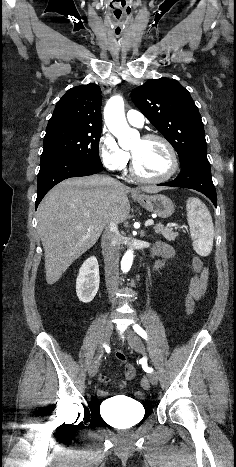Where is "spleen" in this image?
Masks as SVG:
<instances>
[{
	"label": "spleen",
	"instance_id": "3e777b00",
	"mask_svg": "<svg viewBox=\"0 0 236 467\" xmlns=\"http://www.w3.org/2000/svg\"><path fill=\"white\" fill-rule=\"evenodd\" d=\"M186 210L193 248L200 256H207L212 250L214 239L210 212L198 198H188Z\"/></svg>",
	"mask_w": 236,
	"mask_h": 467
}]
</instances>
